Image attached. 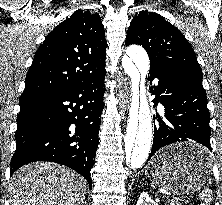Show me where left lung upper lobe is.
<instances>
[{
	"label": "left lung upper lobe",
	"instance_id": "left-lung-upper-lobe-1",
	"mask_svg": "<svg viewBox=\"0 0 222 205\" xmlns=\"http://www.w3.org/2000/svg\"><path fill=\"white\" fill-rule=\"evenodd\" d=\"M125 44L142 45L149 55L150 65L177 67L202 79L200 65L189 42L157 13L140 11L130 23Z\"/></svg>",
	"mask_w": 222,
	"mask_h": 205
}]
</instances>
